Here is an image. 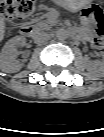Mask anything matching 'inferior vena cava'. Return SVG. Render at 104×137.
<instances>
[{"label": "inferior vena cava", "instance_id": "inferior-vena-cava-1", "mask_svg": "<svg viewBox=\"0 0 104 137\" xmlns=\"http://www.w3.org/2000/svg\"><path fill=\"white\" fill-rule=\"evenodd\" d=\"M47 38H48V34L46 32H36L34 36V41L35 43L40 44L45 40H47Z\"/></svg>", "mask_w": 104, "mask_h": 137}]
</instances>
